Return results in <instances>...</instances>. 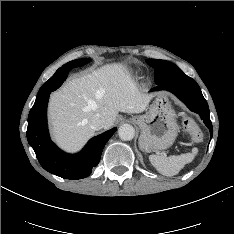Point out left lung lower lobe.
I'll use <instances>...</instances> for the list:
<instances>
[{"mask_svg": "<svg viewBox=\"0 0 234 234\" xmlns=\"http://www.w3.org/2000/svg\"><path fill=\"white\" fill-rule=\"evenodd\" d=\"M168 90L174 93L180 100H182L187 107L196 113L201 115L206 126L210 130V134H213L212 123L210 121V112L208 104L202 95V92L196 83V81L186 74L173 77L157 84L152 91Z\"/></svg>", "mask_w": 234, "mask_h": 234, "instance_id": "left-lung-lower-lobe-1", "label": "left lung lower lobe"}]
</instances>
